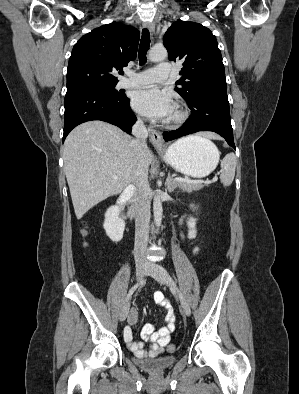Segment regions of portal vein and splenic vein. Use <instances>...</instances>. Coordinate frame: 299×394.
I'll return each mask as SVG.
<instances>
[{
	"mask_svg": "<svg viewBox=\"0 0 299 394\" xmlns=\"http://www.w3.org/2000/svg\"><path fill=\"white\" fill-rule=\"evenodd\" d=\"M113 177L117 178L116 175H114ZM216 180H217V176H215V178L212 181H216ZM173 181L174 182H183V183H187V184H201V183L206 182L203 179L192 180V179H184V178H180V177L174 178Z\"/></svg>",
	"mask_w": 299,
	"mask_h": 394,
	"instance_id": "18ae733b",
	"label": "portal vein and splenic vein"
}]
</instances>
